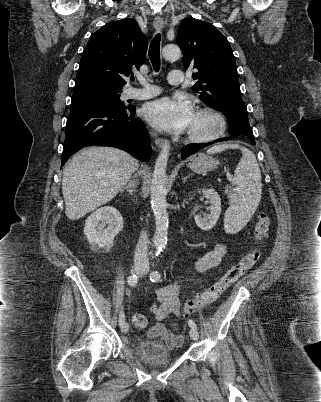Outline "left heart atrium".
Masks as SVG:
<instances>
[{"mask_svg": "<svg viewBox=\"0 0 321 402\" xmlns=\"http://www.w3.org/2000/svg\"><path fill=\"white\" fill-rule=\"evenodd\" d=\"M143 115L157 129L181 132L188 128L194 110L187 100L162 98L146 104Z\"/></svg>", "mask_w": 321, "mask_h": 402, "instance_id": "obj_1", "label": "left heart atrium"}]
</instances>
